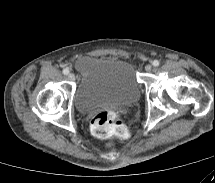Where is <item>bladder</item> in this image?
<instances>
[{
  "label": "bladder",
  "mask_w": 215,
  "mask_h": 183,
  "mask_svg": "<svg viewBox=\"0 0 215 183\" xmlns=\"http://www.w3.org/2000/svg\"><path fill=\"white\" fill-rule=\"evenodd\" d=\"M79 83L74 104L81 113L103 107L128 106L140 96V84L129 62L117 58L85 56L76 61Z\"/></svg>",
  "instance_id": "31cf9c89"
}]
</instances>
